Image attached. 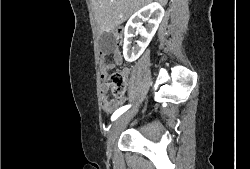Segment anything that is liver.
<instances>
[{
    "label": "liver",
    "mask_w": 250,
    "mask_h": 169,
    "mask_svg": "<svg viewBox=\"0 0 250 169\" xmlns=\"http://www.w3.org/2000/svg\"><path fill=\"white\" fill-rule=\"evenodd\" d=\"M148 2L152 0H91L99 32L118 28L132 12ZM158 2L165 6L168 0H158Z\"/></svg>",
    "instance_id": "liver-1"
}]
</instances>
